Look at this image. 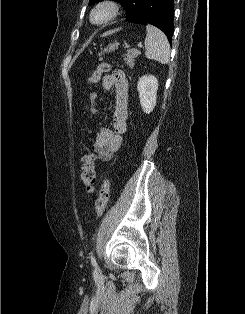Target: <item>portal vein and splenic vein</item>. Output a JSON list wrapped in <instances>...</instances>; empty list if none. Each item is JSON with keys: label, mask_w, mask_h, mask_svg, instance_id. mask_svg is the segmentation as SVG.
I'll list each match as a JSON object with an SVG mask.
<instances>
[{"label": "portal vein and splenic vein", "mask_w": 245, "mask_h": 314, "mask_svg": "<svg viewBox=\"0 0 245 314\" xmlns=\"http://www.w3.org/2000/svg\"><path fill=\"white\" fill-rule=\"evenodd\" d=\"M139 48H143V45L141 43H138Z\"/></svg>", "instance_id": "obj_1"}]
</instances>
